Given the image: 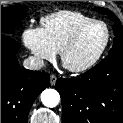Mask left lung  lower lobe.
<instances>
[{
  "instance_id": "left-lung-lower-lobe-1",
  "label": "left lung lower lobe",
  "mask_w": 123,
  "mask_h": 123,
  "mask_svg": "<svg viewBox=\"0 0 123 123\" xmlns=\"http://www.w3.org/2000/svg\"><path fill=\"white\" fill-rule=\"evenodd\" d=\"M63 123H123V51L76 78H59Z\"/></svg>"
}]
</instances>
